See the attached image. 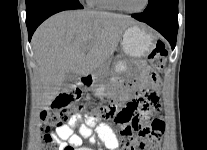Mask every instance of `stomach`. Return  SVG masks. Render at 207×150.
Returning <instances> with one entry per match:
<instances>
[{"label": "stomach", "mask_w": 207, "mask_h": 150, "mask_svg": "<svg viewBox=\"0 0 207 150\" xmlns=\"http://www.w3.org/2000/svg\"><path fill=\"white\" fill-rule=\"evenodd\" d=\"M156 34L143 24L129 26L122 35L121 48L125 57L132 59H143L149 55L155 46ZM126 65L124 60L116 59L114 67L120 72ZM119 84L102 81L94 88L95 95L99 97H110L118 92Z\"/></svg>", "instance_id": "0dacf381"}]
</instances>
